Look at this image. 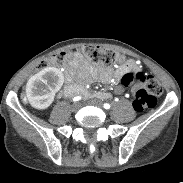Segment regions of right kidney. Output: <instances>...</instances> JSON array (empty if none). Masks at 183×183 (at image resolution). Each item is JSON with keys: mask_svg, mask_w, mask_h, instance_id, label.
I'll list each match as a JSON object with an SVG mask.
<instances>
[{"mask_svg": "<svg viewBox=\"0 0 183 183\" xmlns=\"http://www.w3.org/2000/svg\"><path fill=\"white\" fill-rule=\"evenodd\" d=\"M63 80L62 72L54 67L44 68L32 76L26 86V95L31 106L39 110L48 108Z\"/></svg>", "mask_w": 183, "mask_h": 183, "instance_id": "1", "label": "right kidney"}]
</instances>
